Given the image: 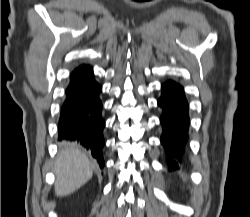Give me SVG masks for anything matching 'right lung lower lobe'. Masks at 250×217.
<instances>
[{"label":"right lung lower lobe","instance_id":"right-lung-lower-lobe-1","mask_svg":"<svg viewBox=\"0 0 250 217\" xmlns=\"http://www.w3.org/2000/svg\"><path fill=\"white\" fill-rule=\"evenodd\" d=\"M101 90V85L94 80L90 66L81 65L71 73L66 99L60 112L58 139L80 143L103 168L105 121L99 98Z\"/></svg>","mask_w":250,"mask_h":217}]
</instances>
